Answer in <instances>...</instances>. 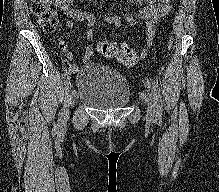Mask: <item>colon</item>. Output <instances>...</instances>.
<instances>
[{
  "instance_id": "5ec220e1",
  "label": "colon",
  "mask_w": 219,
  "mask_h": 192,
  "mask_svg": "<svg viewBox=\"0 0 219 192\" xmlns=\"http://www.w3.org/2000/svg\"><path fill=\"white\" fill-rule=\"evenodd\" d=\"M30 9L44 32L53 33L56 31L58 18L50 6V0H32ZM98 51L101 55L114 58L127 67L134 66L139 61V56L134 50L128 47H119L112 41L100 42ZM66 67H68L67 64Z\"/></svg>"
}]
</instances>
